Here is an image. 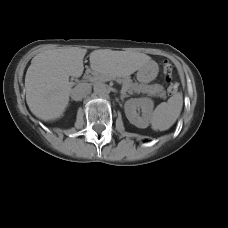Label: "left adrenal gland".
I'll list each match as a JSON object with an SVG mask.
<instances>
[{"label":"left adrenal gland","instance_id":"obj_1","mask_svg":"<svg viewBox=\"0 0 228 228\" xmlns=\"http://www.w3.org/2000/svg\"><path fill=\"white\" fill-rule=\"evenodd\" d=\"M128 97V95L126 93H121V101H124V98Z\"/></svg>","mask_w":228,"mask_h":228}]
</instances>
